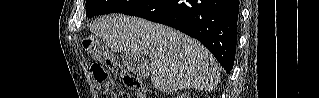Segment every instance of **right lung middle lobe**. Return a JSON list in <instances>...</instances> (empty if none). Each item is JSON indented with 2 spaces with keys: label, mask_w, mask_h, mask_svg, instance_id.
<instances>
[{
  "label": "right lung middle lobe",
  "mask_w": 319,
  "mask_h": 98,
  "mask_svg": "<svg viewBox=\"0 0 319 98\" xmlns=\"http://www.w3.org/2000/svg\"><path fill=\"white\" fill-rule=\"evenodd\" d=\"M147 0H87L86 16L88 18L95 15L126 12L132 8L143 4Z\"/></svg>",
  "instance_id": "1"
}]
</instances>
